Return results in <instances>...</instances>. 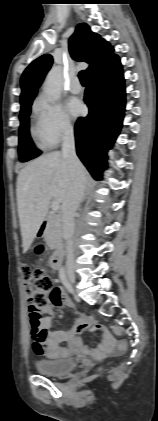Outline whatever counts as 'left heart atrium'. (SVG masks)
Masks as SVG:
<instances>
[{"label": "left heart atrium", "instance_id": "39dd6f15", "mask_svg": "<svg viewBox=\"0 0 158 421\" xmlns=\"http://www.w3.org/2000/svg\"><path fill=\"white\" fill-rule=\"evenodd\" d=\"M67 110L72 116L77 117L84 112V105L79 99L72 98L67 102Z\"/></svg>", "mask_w": 158, "mask_h": 421}]
</instances>
